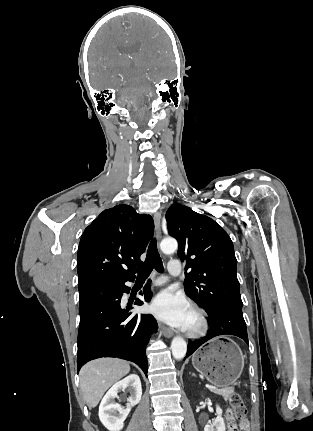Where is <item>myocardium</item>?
<instances>
[{"instance_id": "1", "label": "myocardium", "mask_w": 313, "mask_h": 431, "mask_svg": "<svg viewBox=\"0 0 313 431\" xmlns=\"http://www.w3.org/2000/svg\"><path fill=\"white\" fill-rule=\"evenodd\" d=\"M191 312L196 318V325L194 327L187 328V335L192 338H199L206 335L210 328L207 313L198 306H192Z\"/></svg>"}]
</instances>
